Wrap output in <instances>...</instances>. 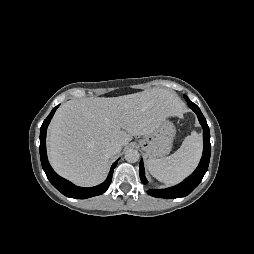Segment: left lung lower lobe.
<instances>
[{
  "mask_svg": "<svg viewBox=\"0 0 254 254\" xmlns=\"http://www.w3.org/2000/svg\"><path fill=\"white\" fill-rule=\"evenodd\" d=\"M186 101L189 107L197 114L199 122L203 128L204 145H203V155H202L201 161L198 167L196 168V170L189 177H187L183 182L167 189L148 190L147 193L151 196H154L157 198H169V199L187 196L199 185V183L201 182L203 176L205 175L208 169L210 154H211L209 127L199 107L193 102H191L188 98H186ZM139 174L143 184H146L147 180L145 178L144 166H143L142 160L140 161Z\"/></svg>",
  "mask_w": 254,
  "mask_h": 254,
  "instance_id": "left-lung-lower-lobe-1",
  "label": "left lung lower lobe"
}]
</instances>
